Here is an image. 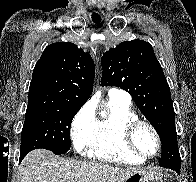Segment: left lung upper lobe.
<instances>
[{
	"instance_id": "1",
	"label": "left lung upper lobe",
	"mask_w": 196,
	"mask_h": 182,
	"mask_svg": "<svg viewBox=\"0 0 196 182\" xmlns=\"http://www.w3.org/2000/svg\"><path fill=\"white\" fill-rule=\"evenodd\" d=\"M101 64V85L129 92L157 131L162 147H171L179 154L170 88L152 46L142 40L122 42L103 54ZM178 157L173 165L160 158L159 165L177 170L180 154Z\"/></svg>"
}]
</instances>
